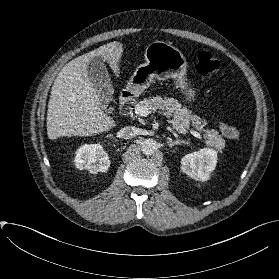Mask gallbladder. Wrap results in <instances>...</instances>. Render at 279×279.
<instances>
[{
	"instance_id": "bac80fb5",
	"label": "gallbladder",
	"mask_w": 279,
	"mask_h": 279,
	"mask_svg": "<svg viewBox=\"0 0 279 279\" xmlns=\"http://www.w3.org/2000/svg\"><path fill=\"white\" fill-rule=\"evenodd\" d=\"M90 80L95 87L102 107L107 108L113 94V86L101 56H95L89 61L87 68Z\"/></svg>"
}]
</instances>
